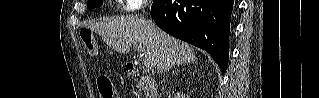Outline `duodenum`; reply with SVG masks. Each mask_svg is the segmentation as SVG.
Instances as JSON below:
<instances>
[{
    "label": "duodenum",
    "mask_w": 319,
    "mask_h": 98,
    "mask_svg": "<svg viewBox=\"0 0 319 98\" xmlns=\"http://www.w3.org/2000/svg\"><path fill=\"white\" fill-rule=\"evenodd\" d=\"M125 68H126V72L129 76H131L133 78L140 79L145 84L146 89L148 91V98H159V96L157 94L156 84L153 81H151L150 79H148L146 76H144L141 73L138 66H136L132 62H128L126 64Z\"/></svg>",
    "instance_id": "410a0bca"
}]
</instances>
